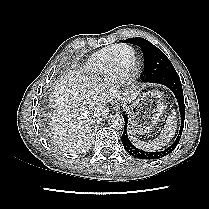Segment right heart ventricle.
<instances>
[{
    "instance_id": "1",
    "label": "right heart ventricle",
    "mask_w": 209,
    "mask_h": 209,
    "mask_svg": "<svg viewBox=\"0 0 209 209\" xmlns=\"http://www.w3.org/2000/svg\"><path fill=\"white\" fill-rule=\"evenodd\" d=\"M121 45H111L99 50L88 61L85 73L89 80L95 83H103L110 76V67L114 53ZM137 55L134 54L131 65L135 66Z\"/></svg>"
}]
</instances>
